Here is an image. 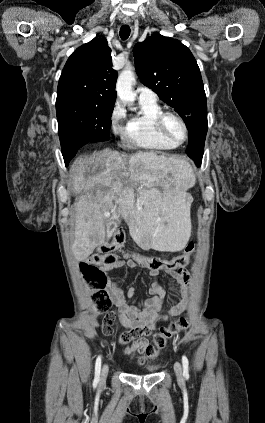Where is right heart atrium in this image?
Masks as SVG:
<instances>
[{"mask_svg":"<svg viewBox=\"0 0 265 423\" xmlns=\"http://www.w3.org/2000/svg\"><path fill=\"white\" fill-rule=\"evenodd\" d=\"M126 117V111L122 104L116 102L110 112L109 123L110 128L114 134H119L123 131L122 122Z\"/></svg>","mask_w":265,"mask_h":423,"instance_id":"obj_1","label":"right heart atrium"}]
</instances>
